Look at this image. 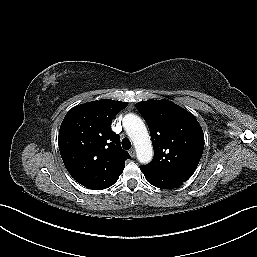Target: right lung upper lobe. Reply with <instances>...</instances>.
I'll list each match as a JSON object with an SVG mask.
<instances>
[{
    "mask_svg": "<svg viewBox=\"0 0 257 257\" xmlns=\"http://www.w3.org/2000/svg\"><path fill=\"white\" fill-rule=\"evenodd\" d=\"M126 102L102 99L73 107L59 130L58 144L70 175L88 189L102 190L115 184L130 158L111 130L112 118Z\"/></svg>",
    "mask_w": 257,
    "mask_h": 257,
    "instance_id": "1",
    "label": "right lung upper lobe"
}]
</instances>
